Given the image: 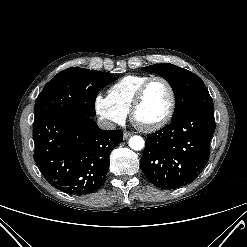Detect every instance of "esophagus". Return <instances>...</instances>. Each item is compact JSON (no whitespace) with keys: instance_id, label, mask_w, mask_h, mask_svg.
Instances as JSON below:
<instances>
[{"instance_id":"34e87169","label":"esophagus","mask_w":247,"mask_h":247,"mask_svg":"<svg viewBox=\"0 0 247 247\" xmlns=\"http://www.w3.org/2000/svg\"><path fill=\"white\" fill-rule=\"evenodd\" d=\"M131 135H132L131 132L125 131V132L123 133V138H124V140H127Z\"/></svg>"}]
</instances>
